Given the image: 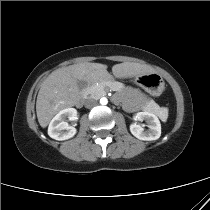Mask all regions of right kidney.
Listing matches in <instances>:
<instances>
[{
	"label": "right kidney",
	"mask_w": 210,
	"mask_h": 210,
	"mask_svg": "<svg viewBox=\"0 0 210 210\" xmlns=\"http://www.w3.org/2000/svg\"><path fill=\"white\" fill-rule=\"evenodd\" d=\"M76 120L77 110L75 108H67L61 110L50 122L48 127V135L55 140H67L72 138L77 130L70 126L65 120Z\"/></svg>",
	"instance_id": "1"
}]
</instances>
